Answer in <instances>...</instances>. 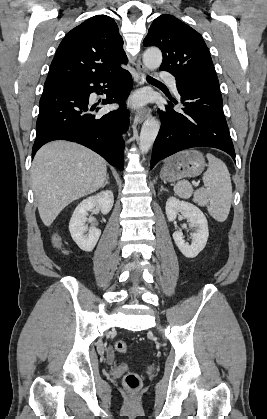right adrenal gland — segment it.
<instances>
[{
	"label": "right adrenal gland",
	"instance_id": "1",
	"mask_svg": "<svg viewBox=\"0 0 267 419\" xmlns=\"http://www.w3.org/2000/svg\"><path fill=\"white\" fill-rule=\"evenodd\" d=\"M106 184H109V176H107V179H106L105 183L103 184L102 188H104L106 186Z\"/></svg>",
	"mask_w": 267,
	"mask_h": 419
}]
</instances>
